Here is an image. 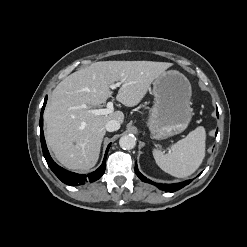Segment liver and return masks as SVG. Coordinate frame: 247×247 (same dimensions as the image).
I'll list each match as a JSON object with an SVG mask.
<instances>
[{
	"mask_svg": "<svg viewBox=\"0 0 247 247\" xmlns=\"http://www.w3.org/2000/svg\"><path fill=\"white\" fill-rule=\"evenodd\" d=\"M172 63L100 61L72 73L53 90L44 112L45 138L57 161L67 169L88 171L99 158L109 120L124 121L122 111L108 115L90 112L112 96L110 86L120 81L117 101L137 105L151 83ZM86 105L87 108H82Z\"/></svg>",
	"mask_w": 247,
	"mask_h": 247,
	"instance_id": "liver-1",
	"label": "liver"
}]
</instances>
